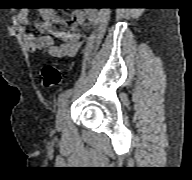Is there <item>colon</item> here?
Segmentation results:
<instances>
[{"instance_id": "5ec220e1", "label": "colon", "mask_w": 192, "mask_h": 180, "mask_svg": "<svg viewBox=\"0 0 192 180\" xmlns=\"http://www.w3.org/2000/svg\"><path fill=\"white\" fill-rule=\"evenodd\" d=\"M41 73L45 86H55L61 81V71L53 65H45Z\"/></svg>"}]
</instances>
